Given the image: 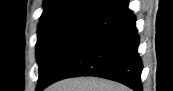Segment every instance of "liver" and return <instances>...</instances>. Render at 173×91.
Here are the masks:
<instances>
[{
    "instance_id": "1",
    "label": "liver",
    "mask_w": 173,
    "mask_h": 91,
    "mask_svg": "<svg viewBox=\"0 0 173 91\" xmlns=\"http://www.w3.org/2000/svg\"><path fill=\"white\" fill-rule=\"evenodd\" d=\"M45 91H130L126 86L97 77H78L53 83Z\"/></svg>"
}]
</instances>
